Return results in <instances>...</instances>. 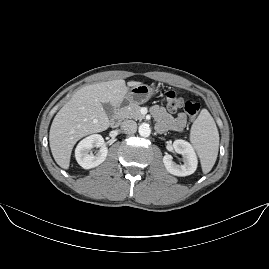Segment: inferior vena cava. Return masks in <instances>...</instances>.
<instances>
[{
	"label": "inferior vena cava",
	"mask_w": 269,
	"mask_h": 269,
	"mask_svg": "<svg viewBox=\"0 0 269 269\" xmlns=\"http://www.w3.org/2000/svg\"><path fill=\"white\" fill-rule=\"evenodd\" d=\"M121 131L125 134H132L137 131V124L133 120H125L121 124Z\"/></svg>",
	"instance_id": "1"
}]
</instances>
